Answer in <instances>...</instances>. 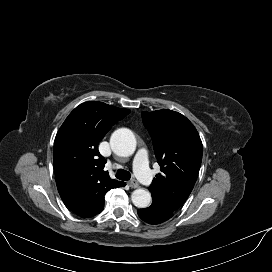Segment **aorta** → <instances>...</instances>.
Here are the masks:
<instances>
[{
    "label": "aorta",
    "instance_id": "762f6f07",
    "mask_svg": "<svg viewBox=\"0 0 272 272\" xmlns=\"http://www.w3.org/2000/svg\"><path fill=\"white\" fill-rule=\"evenodd\" d=\"M112 151L121 157L132 155L136 148V138L127 128H120L113 132L110 138ZM133 204L138 208H146L151 203V194L145 189H136L131 195Z\"/></svg>",
    "mask_w": 272,
    "mask_h": 272
}]
</instances>
